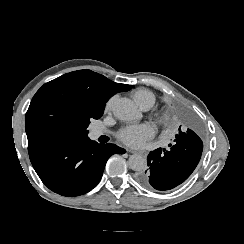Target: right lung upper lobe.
I'll return each mask as SVG.
<instances>
[{"instance_id":"obj_1","label":"right lung upper lobe","mask_w":244,"mask_h":244,"mask_svg":"<svg viewBox=\"0 0 244 244\" xmlns=\"http://www.w3.org/2000/svg\"><path fill=\"white\" fill-rule=\"evenodd\" d=\"M53 83H65L81 88L102 103H106L115 93L131 87L130 85L115 83L91 70L70 72L43 86Z\"/></svg>"}]
</instances>
